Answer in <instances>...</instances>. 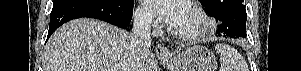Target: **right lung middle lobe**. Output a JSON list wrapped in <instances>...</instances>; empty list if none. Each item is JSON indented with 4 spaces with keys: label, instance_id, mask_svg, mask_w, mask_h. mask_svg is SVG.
<instances>
[{
    "label": "right lung middle lobe",
    "instance_id": "1",
    "mask_svg": "<svg viewBox=\"0 0 301 71\" xmlns=\"http://www.w3.org/2000/svg\"><path fill=\"white\" fill-rule=\"evenodd\" d=\"M60 1H62V0H54V3H56V2H60Z\"/></svg>",
    "mask_w": 301,
    "mask_h": 71
}]
</instances>
